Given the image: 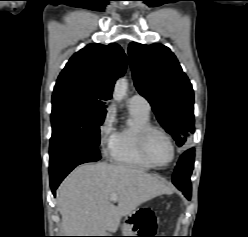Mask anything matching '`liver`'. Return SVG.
Segmentation results:
<instances>
[{"label": "liver", "instance_id": "liver-1", "mask_svg": "<svg viewBox=\"0 0 248 237\" xmlns=\"http://www.w3.org/2000/svg\"><path fill=\"white\" fill-rule=\"evenodd\" d=\"M172 193L143 170L108 163L83 164L57 191L63 236H105L117 231L121 218L142 203ZM117 194V206L110 195Z\"/></svg>", "mask_w": 248, "mask_h": 237}]
</instances>
